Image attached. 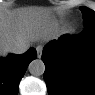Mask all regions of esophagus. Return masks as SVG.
Instances as JSON below:
<instances>
[{"mask_svg":"<svg viewBox=\"0 0 95 95\" xmlns=\"http://www.w3.org/2000/svg\"><path fill=\"white\" fill-rule=\"evenodd\" d=\"M36 51H37L38 58H41L42 52H43V46L42 45H37L36 46Z\"/></svg>","mask_w":95,"mask_h":95,"instance_id":"obj_1","label":"esophagus"}]
</instances>
